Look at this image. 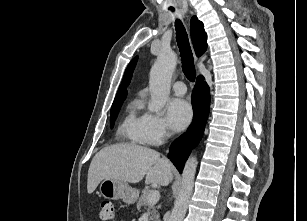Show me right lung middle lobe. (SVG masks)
<instances>
[{
	"instance_id": "obj_1",
	"label": "right lung middle lobe",
	"mask_w": 307,
	"mask_h": 221,
	"mask_svg": "<svg viewBox=\"0 0 307 221\" xmlns=\"http://www.w3.org/2000/svg\"><path fill=\"white\" fill-rule=\"evenodd\" d=\"M122 103H123V101H119V102H114L112 104L111 113H110V123H111V125L114 124L115 119L117 117V114H118V112L120 110V107H121Z\"/></svg>"
}]
</instances>
